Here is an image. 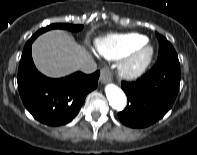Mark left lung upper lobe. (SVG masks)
Listing matches in <instances>:
<instances>
[{
    "mask_svg": "<svg viewBox=\"0 0 197 155\" xmlns=\"http://www.w3.org/2000/svg\"><path fill=\"white\" fill-rule=\"evenodd\" d=\"M159 41V55L158 60L161 59H173L178 60L176 51L174 50L172 44L163 36L156 33Z\"/></svg>",
    "mask_w": 197,
    "mask_h": 155,
    "instance_id": "5c2ea615",
    "label": "left lung upper lobe"
}]
</instances>
